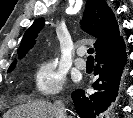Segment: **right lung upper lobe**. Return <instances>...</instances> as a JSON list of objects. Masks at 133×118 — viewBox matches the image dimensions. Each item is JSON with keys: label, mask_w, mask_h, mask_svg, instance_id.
I'll return each mask as SVG.
<instances>
[{"label": "right lung upper lobe", "mask_w": 133, "mask_h": 118, "mask_svg": "<svg viewBox=\"0 0 133 118\" xmlns=\"http://www.w3.org/2000/svg\"><path fill=\"white\" fill-rule=\"evenodd\" d=\"M81 23L84 31L97 38L94 44L96 54L121 38L114 14L104 0H87ZM43 26L44 19L39 18L26 30L17 51L19 58H22L23 55L33 47L35 38ZM15 64L16 61H14L10 67Z\"/></svg>", "instance_id": "right-lung-upper-lobe-1"}]
</instances>
